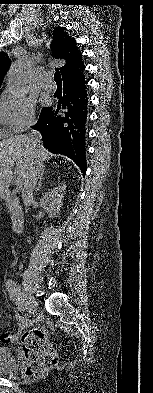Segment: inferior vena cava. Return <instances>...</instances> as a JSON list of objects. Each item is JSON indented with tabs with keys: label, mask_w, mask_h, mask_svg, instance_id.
<instances>
[{
	"label": "inferior vena cava",
	"mask_w": 153,
	"mask_h": 393,
	"mask_svg": "<svg viewBox=\"0 0 153 393\" xmlns=\"http://www.w3.org/2000/svg\"><path fill=\"white\" fill-rule=\"evenodd\" d=\"M28 141L30 148H32V154L36 157L33 158V167L30 173L26 176L22 187V197L24 199H32L33 192L36 189L38 180H40L43 172V164L46 160L45 152L42 150L43 146L41 142V134L37 130H31L28 135Z\"/></svg>",
	"instance_id": "inferior-vena-cava-1"
}]
</instances>
